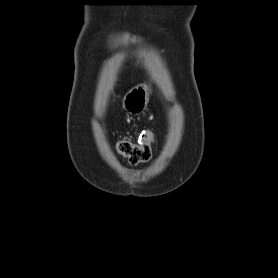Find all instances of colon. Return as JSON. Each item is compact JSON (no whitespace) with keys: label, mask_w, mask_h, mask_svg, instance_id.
Masks as SVG:
<instances>
[{"label":"colon","mask_w":278,"mask_h":278,"mask_svg":"<svg viewBox=\"0 0 278 278\" xmlns=\"http://www.w3.org/2000/svg\"><path fill=\"white\" fill-rule=\"evenodd\" d=\"M154 140V135L150 131H144L138 142L122 140L117 144V151L122 156L135 164L147 160L151 154L150 146Z\"/></svg>","instance_id":"colon-1"}]
</instances>
